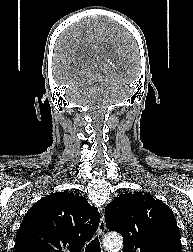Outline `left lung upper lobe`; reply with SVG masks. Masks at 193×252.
Returning <instances> with one entry per match:
<instances>
[{"label":"left lung upper lobe","instance_id":"obj_1","mask_svg":"<svg viewBox=\"0 0 193 252\" xmlns=\"http://www.w3.org/2000/svg\"><path fill=\"white\" fill-rule=\"evenodd\" d=\"M106 227L124 238V252H182L172 210L149 193L120 194L105 209Z\"/></svg>","mask_w":193,"mask_h":252}]
</instances>
